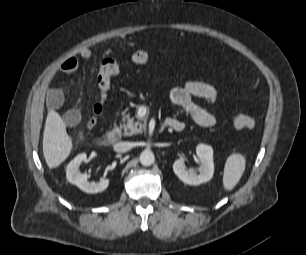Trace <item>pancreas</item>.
I'll use <instances>...</instances> for the list:
<instances>
[{"label": "pancreas", "instance_id": "pancreas-1", "mask_svg": "<svg viewBox=\"0 0 306 255\" xmlns=\"http://www.w3.org/2000/svg\"><path fill=\"white\" fill-rule=\"evenodd\" d=\"M147 118H139L136 114L134 117L125 116L123 124L120 128L123 129V134L132 136L134 134L142 133L146 129Z\"/></svg>", "mask_w": 306, "mask_h": 255}]
</instances>
